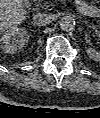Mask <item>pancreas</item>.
<instances>
[{
	"label": "pancreas",
	"instance_id": "pancreas-1",
	"mask_svg": "<svg viewBox=\"0 0 100 118\" xmlns=\"http://www.w3.org/2000/svg\"><path fill=\"white\" fill-rule=\"evenodd\" d=\"M41 1H42V0H39V4L41 3ZM40 5H41V4H40ZM46 7H48V6H46Z\"/></svg>",
	"mask_w": 100,
	"mask_h": 118
}]
</instances>
